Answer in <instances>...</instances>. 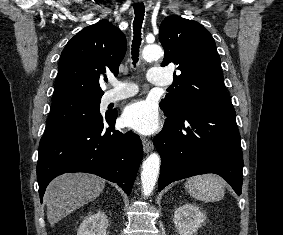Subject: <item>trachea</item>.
Returning a JSON list of instances; mask_svg holds the SVG:
<instances>
[{
    "label": "trachea",
    "mask_w": 283,
    "mask_h": 235,
    "mask_svg": "<svg viewBox=\"0 0 283 235\" xmlns=\"http://www.w3.org/2000/svg\"><path fill=\"white\" fill-rule=\"evenodd\" d=\"M145 6L143 3H136L134 5L135 18L133 21L134 39L132 43V60L133 65L138 62L139 46L141 44V27L144 19Z\"/></svg>",
    "instance_id": "3493384b"
}]
</instances>
